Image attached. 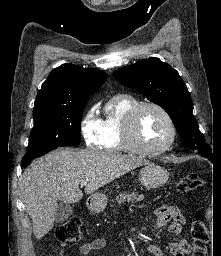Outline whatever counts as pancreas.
Returning <instances> with one entry per match:
<instances>
[{
    "instance_id": "1",
    "label": "pancreas",
    "mask_w": 221,
    "mask_h": 256,
    "mask_svg": "<svg viewBox=\"0 0 221 256\" xmlns=\"http://www.w3.org/2000/svg\"><path fill=\"white\" fill-rule=\"evenodd\" d=\"M142 199H143V195H139L138 193H135V192L131 194L123 192V193H120L119 196L116 198V200L120 203L125 201L134 203V202H139Z\"/></svg>"
}]
</instances>
